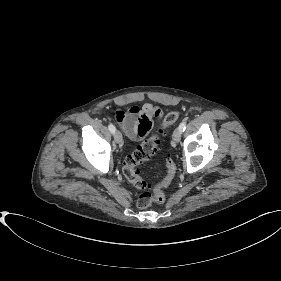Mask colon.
<instances>
[{"label":"colon","instance_id":"5ec220e1","mask_svg":"<svg viewBox=\"0 0 281 281\" xmlns=\"http://www.w3.org/2000/svg\"><path fill=\"white\" fill-rule=\"evenodd\" d=\"M122 113L124 112L119 111L116 116H119ZM179 118V112L173 111L167 114L161 127L150 135L133 153L124 159L122 170L125 178L133 186L143 191L137 199V206L139 208H147L152 203L164 202V189L172 182L176 172V166L173 160L170 157L165 159V176L155 185L147 183L140 176L137 167L150 160L158 152L164 129L177 123Z\"/></svg>","mask_w":281,"mask_h":281}]
</instances>
